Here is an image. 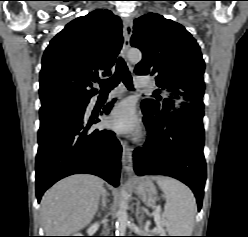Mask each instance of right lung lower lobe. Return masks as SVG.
Listing matches in <instances>:
<instances>
[{
  "label": "right lung lower lobe",
  "instance_id": "1",
  "mask_svg": "<svg viewBox=\"0 0 248 237\" xmlns=\"http://www.w3.org/2000/svg\"><path fill=\"white\" fill-rule=\"evenodd\" d=\"M89 102V100H88ZM88 102L83 106L50 105L40 108L36 196L58 180L77 173H89L119 185L122 147L109 130L89 129L99 119L85 121ZM112 104L104 108L108 114Z\"/></svg>",
  "mask_w": 248,
  "mask_h": 237
}]
</instances>
